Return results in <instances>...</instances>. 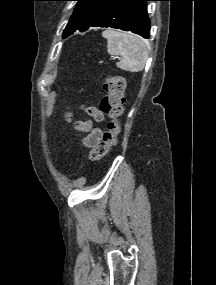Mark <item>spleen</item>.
<instances>
[{
  "label": "spleen",
  "mask_w": 216,
  "mask_h": 285,
  "mask_svg": "<svg viewBox=\"0 0 216 285\" xmlns=\"http://www.w3.org/2000/svg\"><path fill=\"white\" fill-rule=\"evenodd\" d=\"M107 39V51L119 55L116 66L128 72L142 71L148 59V43L138 35L130 32L107 29L102 33Z\"/></svg>",
  "instance_id": "obj_1"
}]
</instances>
